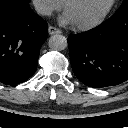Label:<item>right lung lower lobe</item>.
<instances>
[{"instance_id": "right-lung-lower-lobe-1", "label": "right lung lower lobe", "mask_w": 128, "mask_h": 128, "mask_svg": "<svg viewBox=\"0 0 128 128\" xmlns=\"http://www.w3.org/2000/svg\"><path fill=\"white\" fill-rule=\"evenodd\" d=\"M47 35V23L28 3L0 0V82L13 85L30 78Z\"/></svg>"}]
</instances>
